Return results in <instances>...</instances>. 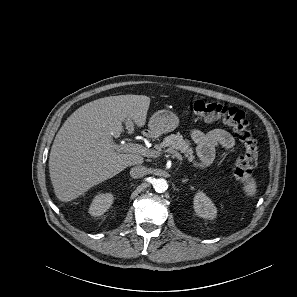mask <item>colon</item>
<instances>
[{
  "label": "colon",
  "mask_w": 297,
  "mask_h": 297,
  "mask_svg": "<svg viewBox=\"0 0 297 297\" xmlns=\"http://www.w3.org/2000/svg\"><path fill=\"white\" fill-rule=\"evenodd\" d=\"M189 109L206 121L221 119L233 129L244 146L245 152L230 163V169L240 182H249L257 163L258 144L245 113L235 107H227L220 103L204 100L192 101L189 104Z\"/></svg>",
  "instance_id": "colon-1"
}]
</instances>
